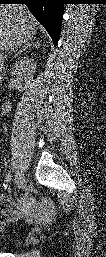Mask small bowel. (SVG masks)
<instances>
[{"label":"small bowel","mask_w":106,"mask_h":257,"mask_svg":"<svg viewBox=\"0 0 106 257\" xmlns=\"http://www.w3.org/2000/svg\"><path fill=\"white\" fill-rule=\"evenodd\" d=\"M37 209L31 202L25 203L23 206L14 207L12 203L6 199H1L0 204V225L3 227L7 222L18 220L22 218L25 213H29L30 216H34Z\"/></svg>","instance_id":"c3829d8e"}]
</instances>
